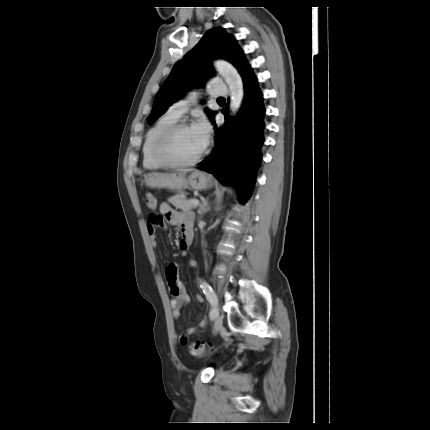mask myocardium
<instances>
[{"label": "myocardium", "instance_id": "myocardium-1", "mask_svg": "<svg viewBox=\"0 0 430 430\" xmlns=\"http://www.w3.org/2000/svg\"><path fill=\"white\" fill-rule=\"evenodd\" d=\"M190 128V125L185 121H177L162 131L156 138L152 152L154 157L166 166L185 167L197 164L205 155V148L194 158L188 160H180L173 157L171 153V144L178 131Z\"/></svg>", "mask_w": 430, "mask_h": 430}]
</instances>
